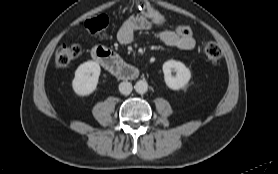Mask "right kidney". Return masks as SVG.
Instances as JSON below:
<instances>
[{
	"label": "right kidney",
	"mask_w": 278,
	"mask_h": 174,
	"mask_svg": "<svg viewBox=\"0 0 278 174\" xmlns=\"http://www.w3.org/2000/svg\"><path fill=\"white\" fill-rule=\"evenodd\" d=\"M100 72L99 64L94 61H87L78 66L72 81L74 92L79 96L90 95L97 87Z\"/></svg>",
	"instance_id": "right-kidney-1"
}]
</instances>
